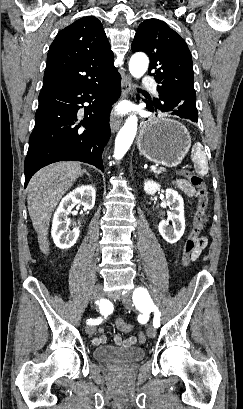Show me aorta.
<instances>
[{
    "label": "aorta",
    "instance_id": "obj_1",
    "mask_svg": "<svg viewBox=\"0 0 243 409\" xmlns=\"http://www.w3.org/2000/svg\"><path fill=\"white\" fill-rule=\"evenodd\" d=\"M149 60L143 53L134 54L129 62V71L134 78H141L148 69ZM137 117L130 115L116 136L114 158L120 160L129 150L137 132Z\"/></svg>",
    "mask_w": 243,
    "mask_h": 409
}]
</instances>
